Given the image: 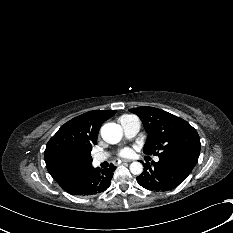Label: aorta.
Segmentation results:
<instances>
[{"mask_svg": "<svg viewBox=\"0 0 233 233\" xmlns=\"http://www.w3.org/2000/svg\"><path fill=\"white\" fill-rule=\"evenodd\" d=\"M102 139L109 144H117L123 136L122 128L116 123H107L101 128ZM130 171L134 175H140L143 166L140 162H133L130 165Z\"/></svg>", "mask_w": 233, "mask_h": 233, "instance_id": "762f6f07", "label": "aorta"}]
</instances>
